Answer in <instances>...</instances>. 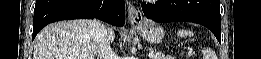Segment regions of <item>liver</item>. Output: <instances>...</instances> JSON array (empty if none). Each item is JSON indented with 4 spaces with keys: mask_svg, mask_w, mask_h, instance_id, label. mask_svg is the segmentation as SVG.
<instances>
[{
    "mask_svg": "<svg viewBox=\"0 0 261 59\" xmlns=\"http://www.w3.org/2000/svg\"><path fill=\"white\" fill-rule=\"evenodd\" d=\"M92 20L62 21L45 27L36 37L33 59H95L97 44ZM111 41L115 33L109 29Z\"/></svg>",
    "mask_w": 261,
    "mask_h": 59,
    "instance_id": "liver-1",
    "label": "liver"
}]
</instances>
